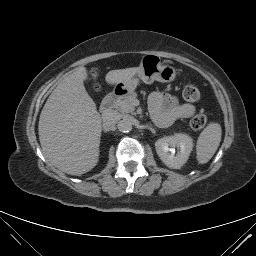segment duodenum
I'll return each instance as SVG.
<instances>
[{
	"instance_id": "duodenum-1",
	"label": "duodenum",
	"mask_w": 256,
	"mask_h": 256,
	"mask_svg": "<svg viewBox=\"0 0 256 256\" xmlns=\"http://www.w3.org/2000/svg\"><path fill=\"white\" fill-rule=\"evenodd\" d=\"M126 91L122 88H117L110 94H108L101 103L100 110L102 113L109 112L115 103L118 101L119 98L124 96Z\"/></svg>"
}]
</instances>
